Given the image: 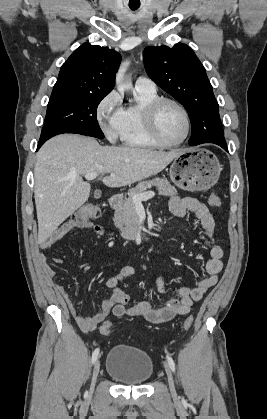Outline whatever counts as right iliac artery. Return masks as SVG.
Returning a JSON list of instances; mask_svg holds the SVG:
<instances>
[{
	"instance_id": "82829eb1",
	"label": "right iliac artery",
	"mask_w": 267,
	"mask_h": 419,
	"mask_svg": "<svg viewBox=\"0 0 267 419\" xmlns=\"http://www.w3.org/2000/svg\"><path fill=\"white\" fill-rule=\"evenodd\" d=\"M98 355H99V348L95 349L93 354H92V360H91L92 364H94L96 362V360L98 358Z\"/></svg>"
}]
</instances>
